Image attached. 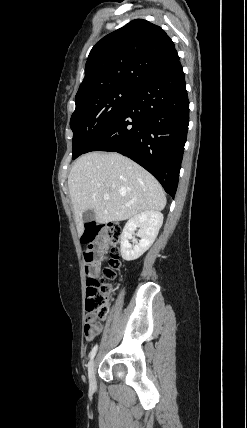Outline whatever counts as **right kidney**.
<instances>
[{"label":"right kidney","mask_w":247,"mask_h":428,"mask_svg":"<svg viewBox=\"0 0 247 428\" xmlns=\"http://www.w3.org/2000/svg\"><path fill=\"white\" fill-rule=\"evenodd\" d=\"M162 223L163 214L159 211H145L132 217L124 226L121 234L122 258L126 261L138 259L151 247ZM137 228H139L136 233L140 238L139 242L133 236ZM130 240L133 244L129 242Z\"/></svg>","instance_id":"right-kidney-1"}]
</instances>
